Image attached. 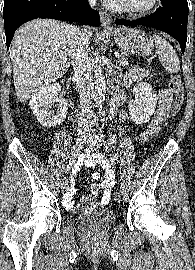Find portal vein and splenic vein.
Returning a JSON list of instances; mask_svg holds the SVG:
<instances>
[{
    "instance_id": "1",
    "label": "portal vein and splenic vein",
    "mask_w": 195,
    "mask_h": 270,
    "mask_svg": "<svg viewBox=\"0 0 195 270\" xmlns=\"http://www.w3.org/2000/svg\"><path fill=\"white\" fill-rule=\"evenodd\" d=\"M115 56L116 57H119L120 56V53L119 52H115Z\"/></svg>"
}]
</instances>
